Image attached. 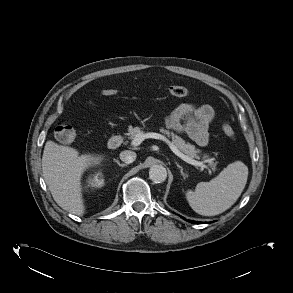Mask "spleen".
<instances>
[{
  "mask_svg": "<svg viewBox=\"0 0 293 293\" xmlns=\"http://www.w3.org/2000/svg\"><path fill=\"white\" fill-rule=\"evenodd\" d=\"M248 178V167L241 161L229 164L209 182H200L186 198L191 208L203 216H215L229 209L240 197Z\"/></svg>",
  "mask_w": 293,
  "mask_h": 293,
  "instance_id": "obj_1",
  "label": "spleen"
}]
</instances>
